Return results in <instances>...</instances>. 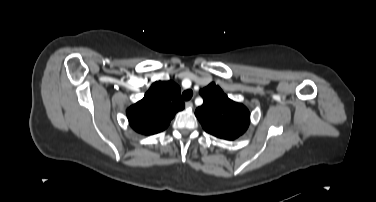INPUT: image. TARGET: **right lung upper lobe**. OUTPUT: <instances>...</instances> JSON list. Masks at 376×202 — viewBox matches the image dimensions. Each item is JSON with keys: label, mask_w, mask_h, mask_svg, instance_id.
Listing matches in <instances>:
<instances>
[{"label": "right lung upper lobe", "mask_w": 376, "mask_h": 202, "mask_svg": "<svg viewBox=\"0 0 376 202\" xmlns=\"http://www.w3.org/2000/svg\"><path fill=\"white\" fill-rule=\"evenodd\" d=\"M180 87L173 81L155 82L142 100L127 109L130 126L138 133L153 135L165 130L185 104Z\"/></svg>", "instance_id": "cb5924a9"}]
</instances>
